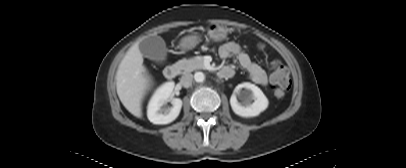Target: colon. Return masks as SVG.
<instances>
[{"label":"colon","instance_id":"obj_1","mask_svg":"<svg viewBox=\"0 0 406 168\" xmlns=\"http://www.w3.org/2000/svg\"><path fill=\"white\" fill-rule=\"evenodd\" d=\"M271 87L276 97L284 96L289 88V75L287 69L279 62H272Z\"/></svg>","mask_w":406,"mask_h":168}]
</instances>
